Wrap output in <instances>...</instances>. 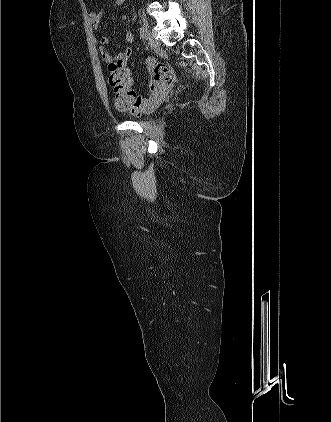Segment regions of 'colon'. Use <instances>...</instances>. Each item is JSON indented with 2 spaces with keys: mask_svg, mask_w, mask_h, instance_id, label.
Masks as SVG:
<instances>
[{
  "mask_svg": "<svg viewBox=\"0 0 331 422\" xmlns=\"http://www.w3.org/2000/svg\"><path fill=\"white\" fill-rule=\"evenodd\" d=\"M147 65L152 77L149 86L150 97L143 98L131 88V79L126 65L120 61L109 64V84L114 93L117 110L140 115L153 110L164 100L171 80V69L167 64L157 62L153 58L147 60Z\"/></svg>",
  "mask_w": 331,
  "mask_h": 422,
  "instance_id": "colon-1",
  "label": "colon"
}]
</instances>
